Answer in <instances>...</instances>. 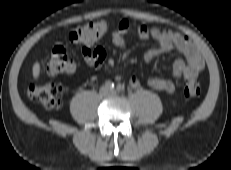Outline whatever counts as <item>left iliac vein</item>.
<instances>
[{
	"mask_svg": "<svg viewBox=\"0 0 231 170\" xmlns=\"http://www.w3.org/2000/svg\"><path fill=\"white\" fill-rule=\"evenodd\" d=\"M110 94H115V91L114 90L110 91Z\"/></svg>",
	"mask_w": 231,
	"mask_h": 170,
	"instance_id": "obj_1",
	"label": "left iliac vein"
}]
</instances>
